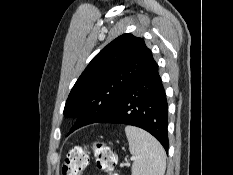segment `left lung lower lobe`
Here are the masks:
<instances>
[{"instance_id":"obj_1","label":"left lung lower lobe","mask_w":233,"mask_h":175,"mask_svg":"<svg viewBox=\"0 0 233 175\" xmlns=\"http://www.w3.org/2000/svg\"><path fill=\"white\" fill-rule=\"evenodd\" d=\"M95 123L140 127L152 134L168 150V104L154 59L128 86L114 106Z\"/></svg>"}]
</instances>
